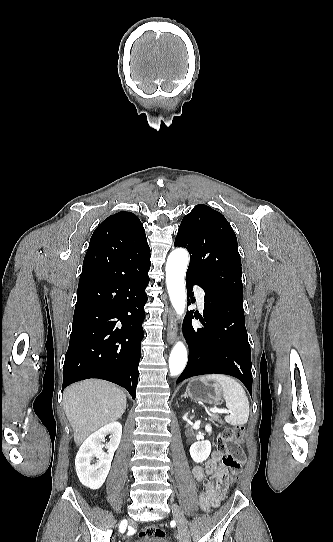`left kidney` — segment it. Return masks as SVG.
Here are the masks:
<instances>
[{
    "label": "left kidney",
    "mask_w": 333,
    "mask_h": 542,
    "mask_svg": "<svg viewBox=\"0 0 333 542\" xmlns=\"http://www.w3.org/2000/svg\"><path fill=\"white\" fill-rule=\"evenodd\" d=\"M191 418H194V416H191ZM183 420H188V414H185ZM206 432L208 434H211L212 428L210 424H207L205 426ZM211 452V444L209 440H205V442H195V444H192L190 448V456L194 462H197V464H200V462H204V460H207L209 458Z\"/></svg>",
    "instance_id": "left-kidney-1"
}]
</instances>
